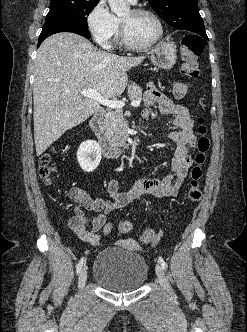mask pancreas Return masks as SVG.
I'll return each instance as SVG.
<instances>
[{
    "mask_svg": "<svg viewBox=\"0 0 247 332\" xmlns=\"http://www.w3.org/2000/svg\"><path fill=\"white\" fill-rule=\"evenodd\" d=\"M128 96L130 100L141 101L142 100V89L136 85L132 84L128 88ZM128 123L123 116L121 109L111 112L105 123L106 135L109 141L115 147L125 146L128 133Z\"/></svg>",
    "mask_w": 247,
    "mask_h": 332,
    "instance_id": "cf45deb5",
    "label": "pancreas"
}]
</instances>
